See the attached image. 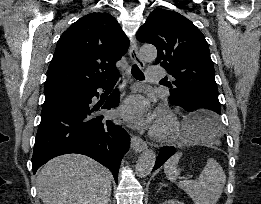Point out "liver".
I'll list each match as a JSON object with an SVG mask.
<instances>
[{"label": "liver", "mask_w": 261, "mask_h": 204, "mask_svg": "<svg viewBox=\"0 0 261 204\" xmlns=\"http://www.w3.org/2000/svg\"><path fill=\"white\" fill-rule=\"evenodd\" d=\"M37 189L44 204H107L111 175L85 155L66 154L42 167L37 175Z\"/></svg>", "instance_id": "1"}]
</instances>
